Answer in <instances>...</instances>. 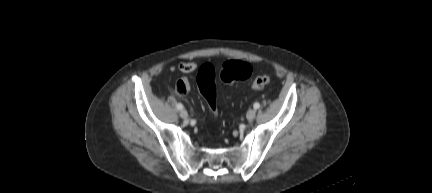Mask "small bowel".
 Here are the masks:
<instances>
[{"instance_id":"1","label":"small bowel","mask_w":432,"mask_h":193,"mask_svg":"<svg viewBox=\"0 0 432 193\" xmlns=\"http://www.w3.org/2000/svg\"><path fill=\"white\" fill-rule=\"evenodd\" d=\"M197 65L192 61L181 62L178 65V69L183 73H191L196 69ZM189 87V81L187 78L180 79L176 84V89L179 93H185ZM179 88H182L183 91H179Z\"/></svg>"}]
</instances>
